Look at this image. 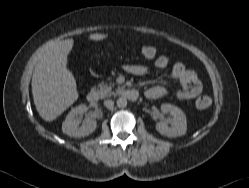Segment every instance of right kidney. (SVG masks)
Segmentation results:
<instances>
[{"mask_svg":"<svg viewBox=\"0 0 249 188\" xmlns=\"http://www.w3.org/2000/svg\"><path fill=\"white\" fill-rule=\"evenodd\" d=\"M86 111L87 107L85 104L73 108L62 124L63 133L75 138L85 137L93 133L97 127L95 119L87 118L81 126H79L80 120L76 119L78 115H83Z\"/></svg>","mask_w":249,"mask_h":188,"instance_id":"ca27d5eb","label":"right kidney"}]
</instances>
